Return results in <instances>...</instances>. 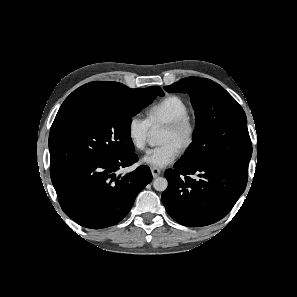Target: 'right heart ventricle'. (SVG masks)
<instances>
[{
    "label": "right heart ventricle",
    "mask_w": 297,
    "mask_h": 297,
    "mask_svg": "<svg viewBox=\"0 0 297 297\" xmlns=\"http://www.w3.org/2000/svg\"><path fill=\"white\" fill-rule=\"evenodd\" d=\"M188 113V104L182 97L166 95L147 108L146 120L151 130H154Z\"/></svg>",
    "instance_id": "e07e8e85"
}]
</instances>
